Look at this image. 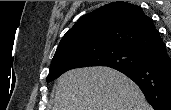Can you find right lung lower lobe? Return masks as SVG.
Wrapping results in <instances>:
<instances>
[{
  "mask_svg": "<svg viewBox=\"0 0 171 110\" xmlns=\"http://www.w3.org/2000/svg\"><path fill=\"white\" fill-rule=\"evenodd\" d=\"M132 79L155 110H171V60L165 44L137 67L117 69Z\"/></svg>",
  "mask_w": 171,
  "mask_h": 110,
  "instance_id": "obj_1",
  "label": "right lung lower lobe"
}]
</instances>
